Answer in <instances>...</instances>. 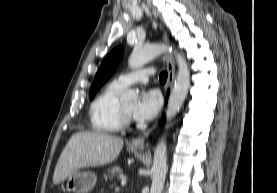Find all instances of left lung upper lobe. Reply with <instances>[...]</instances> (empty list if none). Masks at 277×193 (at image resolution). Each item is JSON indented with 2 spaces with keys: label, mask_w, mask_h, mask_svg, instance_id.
<instances>
[{
  "label": "left lung upper lobe",
  "mask_w": 277,
  "mask_h": 193,
  "mask_svg": "<svg viewBox=\"0 0 277 193\" xmlns=\"http://www.w3.org/2000/svg\"><path fill=\"white\" fill-rule=\"evenodd\" d=\"M123 48L118 47L114 49L101 64L90 90V99H93L100 87L106 82V80L114 73L118 63L122 57Z\"/></svg>",
  "instance_id": "left-lung-upper-lobe-1"
}]
</instances>
